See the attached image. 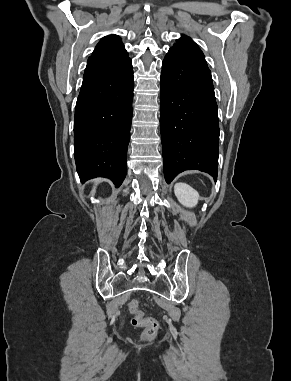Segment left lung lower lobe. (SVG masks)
<instances>
[{
  "label": "left lung lower lobe",
  "mask_w": 291,
  "mask_h": 381,
  "mask_svg": "<svg viewBox=\"0 0 291 381\" xmlns=\"http://www.w3.org/2000/svg\"><path fill=\"white\" fill-rule=\"evenodd\" d=\"M160 128L168 184L191 169L217 179L219 124L211 72L173 48L162 64Z\"/></svg>",
  "instance_id": "0a47b994"
}]
</instances>
